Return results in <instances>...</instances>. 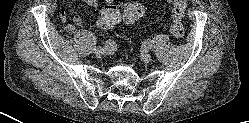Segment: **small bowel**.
Wrapping results in <instances>:
<instances>
[{"mask_svg": "<svg viewBox=\"0 0 249 123\" xmlns=\"http://www.w3.org/2000/svg\"><path fill=\"white\" fill-rule=\"evenodd\" d=\"M82 1L91 7H97V5H98V0H82ZM115 1L116 0H104V2L106 4H113V3H115ZM165 1L171 4L170 0H165ZM59 18L62 21V23L64 24V28L66 31L73 30V25L66 23V14L63 10L60 11ZM72 23L74 25H81V24H83V19L79 14L76 13L72 17Z\"/></svg>", "mask_w": 249, "mask_h": 123, "instance_id": "c3829d8e", "label": "small bowel"}]
</instances>
